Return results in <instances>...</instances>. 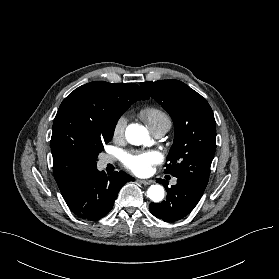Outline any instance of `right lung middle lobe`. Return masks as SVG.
<instances>
[{"label":"right lung middle lobe","mask_w":279,"mask_h":279,"mask_svg":"<svg viewBox=\"0 0 279 279\" xmlns=\"http://www.w3.org/2000/svg\"><path fill=\"white\" fill-rule=\"evenodd\" d=\"M130 104H116L113 106L112 113H113V120L114 125L101 137H97L92 140V142L89 145V155L91 158L90 166L96 165V158L98 157V154L103 150V145L105 143H108L114 133L115 124L117 123L120 116L123 114L124 111L129 108Z\"/></svg>","instance_id":"obj_1"}]
</instances>
